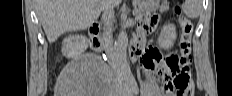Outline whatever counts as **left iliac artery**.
I'll list each match as a JSON object with an SVG mask.
<instances>
[{
    "label": "left iliac artery",
    "mask_w": 232,
    "mask_h": 96,
    "mask_svg": "<svg viewBox=\"0 0 232 96\" xmlns=\"http://www.w3.org/2000/svg\"><path fill=\"white\" fill-rule=\"evenodd\" d=\"M133 92L137 95L138 94V88L136 86H132ZM132 93V92H131Z\"/></svg>",
    "instance_id": "left-iliac-artery-1"
}]
</instances>
